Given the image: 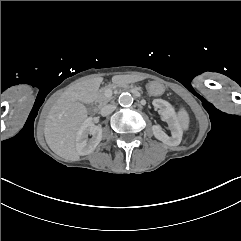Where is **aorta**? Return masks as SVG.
Wrapping results in <instances>:
<instances>
[{"label": "aorta", "mask_w": 241, "mask_h": 241, "mask_svg": "<svg viewBox=\"0 0 241 241\" xmlns=\"http://www.w3.org/2000/svg\"><path fill=\"white\" fill-rule=\"evenodd\" d=\"M118 102L123 107H129L133 103V97L130 93L124 92L119 96Z\"/></svg>", "instance_id": "1"}]
</instances>
